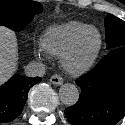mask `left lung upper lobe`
<instances>
[{
    "label": "left lung upper lobe",
    "instance_id": "1",
    "mask_svg": "<svg viewBox=\"0 0 125 125\" xmlns=\"http://www.w3.org/2000/svg\"><path fill=\"white\" fill-rule=\"evenodd\" d=\"M108 49L125 46V22L112 14L104 21Z\"/></svg>",
    "mask_w": 125,
    "mask_h": 125
}]
</instances>
